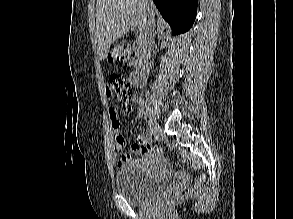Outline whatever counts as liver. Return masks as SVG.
Here are the masks:
<instances>
[{"label": "liver", "mask_w": 293, "mask_h": 219, "mask_svg": "<svg viewBox=\"0 0 293 219\" xmlns=\"http://www.w3.org/2000/svg\"><path fill=\"white\" fill-rule=\"evenodd\" d=\"M155 12L151 0H97L95 42L100 60L107 57L111 44L127 34L130 26L138 28L141 39L148 15L154 17Z\"/></svg>", "instance_id": "1"}]
</instances>
